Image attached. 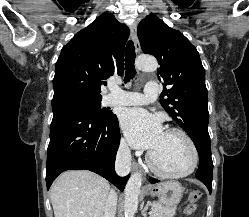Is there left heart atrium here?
Wrapping results in <instances>:
<instances>
[{
  "label": "left heart atrium",
  "instance_id": "1",
  "mask_svg": "<svg viewBox=\"0 0 249 217\" xmlns=\"http://www.w3.org/2000/svg\"><path fill=\"white\" fill-rule=\"evenodd\" d=\"M121 127L130 145L137 149H155L164 133L160 120L141 108L126 110Z\"/></svg>",
  "mask_w": 249,
  "mask_h": 217
}]
</instances>
